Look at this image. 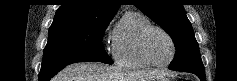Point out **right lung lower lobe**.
<instances>
[{
  "instance_id": "obj_1",
  "label": "right lung lower lobe",
  "mask_w": 237,
  "mask_h": 81,
  "mask_svg": "<svg viewBox=\"0 0 237 81\" xmlns=\"http://www.w3.org/2000/svg\"><path fill=\"white\" fill-rule=\"evenodd\" d=\"M95 61L88 59H69V60H55L42 62V67L39 73V81H49L55 76L60 70L69 64L76 62Z\"/></svg>"
}]
</instances>
